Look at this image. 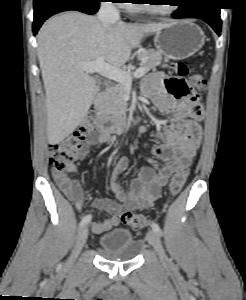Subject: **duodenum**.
<instances>
[{
	"label": "duodenum",
	"instance_id": "410a0bca",
	"mask_svg": "<svg viewBox=\"0 0 246 300\" xmlns=\"http://www.w3.org/2000/svg\"><path fill=\"white\" fill-rule=\"evenodd\" d=\"M107 88L106 83H101L98 98L102 96ZM135 125L134 118L124 111L119 115H102L99 119V130L104 134H120L132 129Z\"/></svg>",
	"mask_w": 246,
	"mask_h": 300
}]
</instances>
